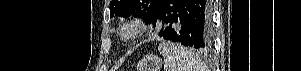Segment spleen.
Segmentation results:
<instances>
[{
    "instance_id": "spleen-1",
    "label": "spleen",
    "mask_w": 301,
    "mask_h": 71,
    "mask_svg": "<svg viewBox=\"0 0 301 71\" xmlns=\"http://www.w3.org/2000/svg\"><path fill=\"white\" fill-rule=\"evenodd\" d=\"M158 50L164 59V71H205L201 59L180 44L161 42Z\"/></svg>"
}]
</instances>
